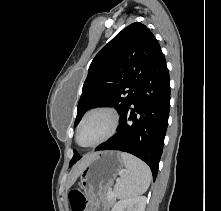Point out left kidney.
<instances>
[{"label": "left kidney", "instance_id": "5707ae66", "mask_svg": "<svg viewBox=\"0 0 221 211\" xmlns=\"http://www.w3.org/2000/svg\"><path fill=\"white\" fill-rule=\"evenodd\" d=\"M147 198L139 196L116 202L111 211H145Z\"/></svg>", "mask_w": 221, "mask_h": 211}]
</instances>
